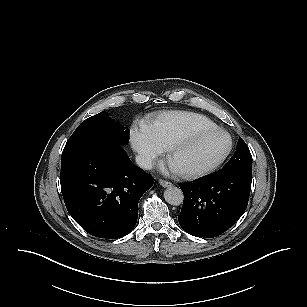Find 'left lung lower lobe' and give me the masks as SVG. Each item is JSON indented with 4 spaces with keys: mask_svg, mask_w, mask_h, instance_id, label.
I'll return each instance as SVG.
<instances>
[{
    "mask_svg": "<svg viewBox=\"0 0 307 307\" xmlns=\"http://www.w3.org/2000/svg\"><path fill=\"white\" fill-rule=\"evenodd\" d=\"M251 182V172H229L181 184L184 201L178 216L180 226L196 237L222 234L244 213Z\"/></svg>",
    "mask_w": 307,
    "mask_h": 307,
    "instance_id": "left-lung-lower-lobe-1",
    "label": "left lung lower lobe"
}]
</instances>
